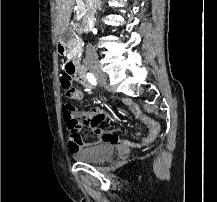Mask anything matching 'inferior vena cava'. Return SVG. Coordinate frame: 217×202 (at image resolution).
Here are the masks:
<instances>
[{
	"label": "inferior vena cava",
	"instance_id": "602c4592",
	"mask_svg": "<svg viewBox=\"0 0 217 202\" xmlns=\"http://www.w3.org/2000/svg\"><path fill=\"white\" fill-rule=\"evenodd\" d=\"M86 4V16H84V24L85 26H89L91 20H93V16L96 12V8L99 6V0H85ZM86 56L88 58H94V56H97L95 50L91 48V46H86Z\"/></svg>",
	"mask_w": 217,
	"mask_h": 202
}]
</instances>
